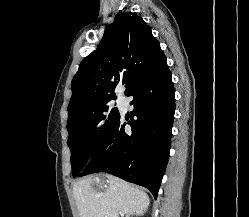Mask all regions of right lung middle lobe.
Listing matches in <instances>:
<instances>
[{"mask_svg":"<svg viewBox=\"0 0 249 217\" xmlns=\"http://www.w3.org/2000/svg\"><path fill=\"white\" fill-rule=\"evenodd\" d=\"M116 99V98H113ZM103 100L68 117V147L71 150L73 177L79 176L117 122L120 113Z\"/></svg>","mask_w":249,"mask_h":217,"instance_id":"1","label":"right lung middle lobe"}]
</instances>
